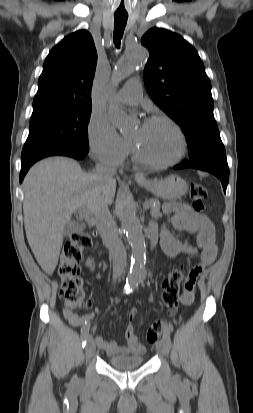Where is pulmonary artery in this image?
I'll list each match as a JSON object with an SVG mask.
<instances>
[{
	"mask_svg": "<svg viewBox=\"0 0 253 413\" xmlns=\"http://www.w3.org/2000/svg\"><path fill=\"white\" fill-rule=\"evenodd\" d=\"M141 98L142 88L138 80L128 82L116 95L117 101L127 105H136Z\"/></svg>",
	"mask_w": 253,
	"mask_h": 413,
	"instance_id": "1",
	"label": "pulmonary artery"
}]
</instances>
